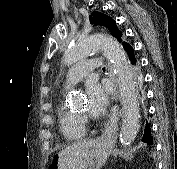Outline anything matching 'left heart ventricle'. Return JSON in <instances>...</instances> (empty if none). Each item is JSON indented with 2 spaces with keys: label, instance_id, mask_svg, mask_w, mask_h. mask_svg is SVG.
<instances>
[{
  "label": "left heart ventricle",
  "instance_id": "1",
  "mask_svg": "<svg viewBox=\"0 0 177 169\" xmlns=\"http://www.w3.org/2000/svg\"><path fill=\"white\" fill-rule=\"evenodd\" d=\"M87 112V107L86 105L82 106L81 109H79V113L85 114Z\"/></svg>",
  "mask_w": 177,
  "mask_h": 169
}]
</instances>
